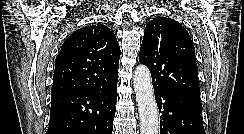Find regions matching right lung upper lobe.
Masks as SVG:
<instances>
[{
	"mask_svg": "<svg viewBox=\"0 0 244 134\" xmlns=\"http://www.w3.org/2000/svg\"><path fill=\"white\" fill-rule=\"evenodd\" d=\"M120 47L103 24L72 33L56 57L52 98L75 91L95 90L117 78Z\"/></svg>",
	"mask_w": 244,
	"mask_h": 134,
	"instance_id": "obj_1",
	"label": "right lung upper lobe"
}]
</instances>
